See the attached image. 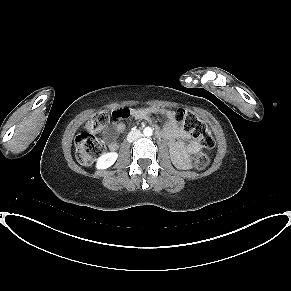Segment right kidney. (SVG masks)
<instances>
[{
	"label": "right kidney",
	"mask_w": 291,
	"mask_h": 291,
	"mask_svg": "<svg viewBox=\"0 0 291 291\" xmlns=\"http://www.w3.org/2000/svg\"><path fill=\"white\" fill-rule=\"evenodd\" d=\"M118 158V154L116 152H109L103 154L101 157L98 158L96 163L97 169H106L112 166Z\"/></svg>",
	"instance_id": "obj_1"
}]
</instances>
